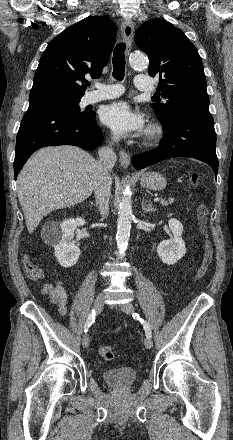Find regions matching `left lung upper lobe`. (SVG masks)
Wrapping results in <instances>:
<instances>
[{"instance_id": "5c2ea615", "label": "left lung upper lobe", "mask_w": 233, "mask_h": 440, "mask_svg": "<svg viewBox=\"0 0 233 440\" xmlns=\"http://www.w3.org/2000/svg\"><path fill=\"white\" fill-rule=\"evenodd\" d=\"M135 41L147 54L149 75L159 77L158 89L167 99L165 104H153L163 126H168L182 110H209L201 58L180 29L165 20L152 19L138 28Z\"/></svg>"}]
</instances>
